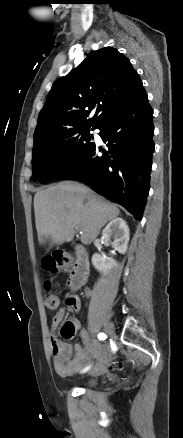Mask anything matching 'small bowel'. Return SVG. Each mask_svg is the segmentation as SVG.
Wrapping results in <instances>:
<instances>
[{
  "label": "small bowel",
  "mask_w": 183,
  "mask_h": 438,
  "mask_svg": "<svg viewBox=\"0 0 183 438\" xmlns=\"http://www.w3.org/2000/svg\"><path fill=\"white\" fill-rule=\"evenodd\" d=\"M70 309L78 312L81 307V302L78 298L74 301L67 302ZM65 316V310H59L52 319V332L50 335L51 352L53 356V365L56 373L67 378L86 366L93 358L99 359V363L92 369L93 375H101L108 370V356L106 348H101L98 343L91 341L87 333L83 330L80 335L84 341V347L76 344L72 347L68 342L62 341L55 333L56 327L62 322ZM75 326L76 330H80V322L78 319L69 320Z\"/></svg>",
  "instance_id": "1"
}]
</instances>
